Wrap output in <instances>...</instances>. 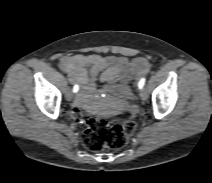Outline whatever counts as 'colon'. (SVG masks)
<instances>
[{
  "label": "colon",
  "mask_w": 212,
  "mask_h": 183,
  "mask_svg": "<svg viewBox=\"0 0 212 183\" xmlns=\"http://www.w3.org/2000/svg\"><path fill=\"white\" fill-rule=\"evenodd\" d=\"M80 120L86 124L83 135L84 145L91 151H100L105 148L120 149L127 144L136 129V121L132 118L117 125H110L101 117L81 116Z\"/></svg>",
  "instance_id": "colon-1"
}]
</instances>
